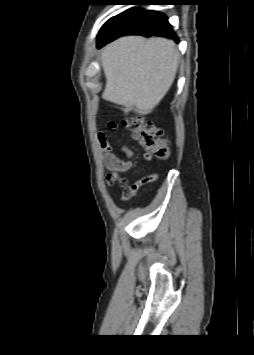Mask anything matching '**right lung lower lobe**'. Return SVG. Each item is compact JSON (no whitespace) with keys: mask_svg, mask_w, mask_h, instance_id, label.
Listing matches in <instances>:
<instances>
[{"mask_svg":"<svg viewBox=\"0 0 254 355\" xmlns=\"http://www.w3.org/2000/svg\"><path fill=\"white\" fill-rule=\"evenodd\" d=\"M150 2V1H143ZM138 5H149L141 3ZM135 34L144 37H168L178 42V37L168 23L167 17L159 12L130 9L106 22L98 36L97 47L117 39L122 35Z\"/></svg>","mask_w":254,"mask_h":355,"instance_id":"obj_1","label":"right lung lower lobe"}]
</instances>
